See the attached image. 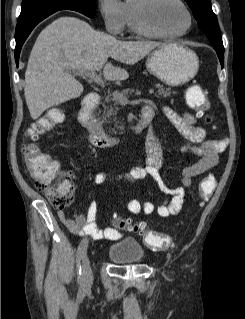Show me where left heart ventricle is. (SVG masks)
I'll use <instances>...</instances> for the list:
<instances>
[{"instance_id": "b2bd125f", "label": "left heart ventricle", "mask_w": 245, "mask_h": 319, "mask_svg": "<svg viewBox=\"0 0 245 319\" xmlns=\"http://www.w3.org/2000/svg\"><path fill=\"white\" fill-rule=\"evenodd\" d=\"M149 16L158 29L168 33L183 30L188 22L185 10L175 0H156Z\"/></svg>"}]
</instances>
